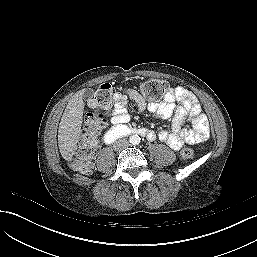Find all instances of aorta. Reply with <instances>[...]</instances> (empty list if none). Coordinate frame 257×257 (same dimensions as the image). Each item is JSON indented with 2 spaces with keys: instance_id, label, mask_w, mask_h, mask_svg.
<instances>
[{
  "instance_id": "aorta-1",
  "label": "aorta",
  "mask_w": 257,
  "mask_h": 257,
  "mask_svg": "<svg viewBox=\"0 0 257 257\" xmlns=\"http://www.w3.org/2000/svg\"><path fill=\"white\" fill-rule=\"evenodd\" d=\"M140 136L135 134V135H132L130 136V143L133 144V145H137L140 143Z\"/></svg>"
}]
</instances>
